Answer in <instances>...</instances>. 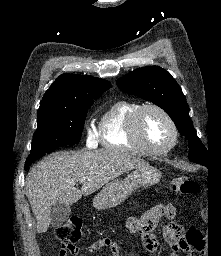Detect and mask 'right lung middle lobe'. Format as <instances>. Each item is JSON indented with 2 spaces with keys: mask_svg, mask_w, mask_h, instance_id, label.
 <instances>
[{
  "mask_svg": "<svg viewBox=\"0 0 221 256\" xmlns=\"http://www.w3.org/2000/svg\"><path fill=\"white\" fill-rule=\"evenodd\" d=\"M94 99L96 97L79 100L77 106L72 109L38 112V127L33 135L25 170L33 161L46 153L80 141L87 109L93 104Z\"/></svg>",
  "mask_w": 221,
  "mask_h": 256,
  "instance_id": "obj_1",
  "label": "right lung middle lobe"
}]
</instances>
